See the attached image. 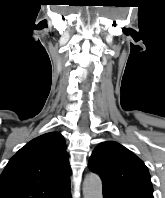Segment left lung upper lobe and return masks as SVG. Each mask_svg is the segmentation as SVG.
Masks as SVG:
<instances>
[{"instance_id": "5c2ea615", "label": "left lung upper lobe", "mask_w": 165, "mask_h": 198, "mask_svg": "<svg viewBox=\"0 0 165 198\" xmlns=\"http://www.w3.org/2000/svg\"><path fill=\"white\" fill-rule=\"evenodd\" d=\"M89 168L100 175L103 186L127 198H153L146 165L117 142L100 143L90 157Z\"/></svg>"}]
</instances>
